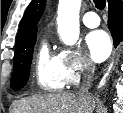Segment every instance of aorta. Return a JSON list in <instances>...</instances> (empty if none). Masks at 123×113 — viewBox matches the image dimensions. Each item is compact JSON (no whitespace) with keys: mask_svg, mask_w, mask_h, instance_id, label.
<instances>
[{"mask_svg":"<svg viewBox=\"0 0 123 113\" xmlns=\"http://www.w3.org/2000/svg\"><path fill=\"white\" fill-rule=\"evenodd\" d=\"M81 0H59L57 26L62 42L74 45L79 39V11Z\"/></svg>","mask_w":123,"mask_h":113,"instance_id":"aorta-1","label":"aorta"}]
</instances>
